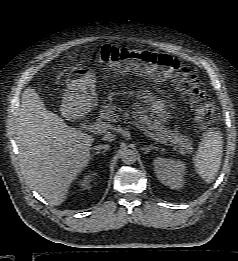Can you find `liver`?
<instances>
[{
    "label": "liver",
    "instance_id": "liver-1",
    "mask_svg": "<svg viewBox=\"0 0 238 261\" xmlns=\"http://www.w3.org/2000/svg\"><path fill=\"white\" fill-rule=\"evenodd\" d=\"M16 131L29 186L50 204L61 205L71 183L89 163L94 138L48 111L32 87L22 93Z\"/></svg>",
    "mask_w": 238,
    "mask_h": 261
}]
</instances>
